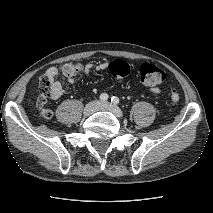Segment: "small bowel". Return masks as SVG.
<instances>
[{"instance_id": "1", "label": "small bowel", "mask_w": 213, "mask_h": 213, "mask_svg": "<svg viewBox=\"0 0 213 213\" xmlns=\"http://www.w3.org/2000/svg\"><path fill=\"white\" fill-rule=\"evenodd\" d=\"M110 64L108 62H99L96 64L88 63L85 65V72H91L92 70L103 71L110 69ZM60 70L58 67L52 66L49 67L43 77V80L46 82L49 94L53 99H59L65 93V89L62 83L58 80ZM151 92L153 94H159L160 89L158 87H152Z\"/></svg>"}]
</instances>
